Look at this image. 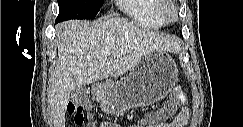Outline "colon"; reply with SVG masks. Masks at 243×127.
I'll use <instances>...</instances> for the list:
<instances>
[{
	"mask_svg": "<svg viewBox=\"0 0 243 127\" xmlns=\"http://www.w3.org/2000/svg\"><path fill=\"white\" fill-rule=\"evenodd\" d=\"M172 103L167 107L166 113L173 114L177 106L183 105L186 102V96L183 93L180 86L176 85L171 91ZM85 104L83 103H70L68 106V112L72 115L75 125L80 126L85 120Z\"/></svg>",
	"mask_w": 243,
	"mask_h": 127,
	"instance_id": "5ec220e1",
	"label": "colon"
}]
</instances>
